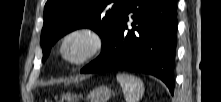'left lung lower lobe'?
Returning <instances> with one entry per match:
<instances>
[{
	"label": "left lung lower lobe",
	"instance_id": "obj_1",
	"mask_svg": "<svg viewBox=\"0 0 221 102\" xmlns=\"http://www.w3.org/2000/svg\"><path fill=\"white\" fill-rule=\"evenodd\" d=\"M176 30L175 0H127L112 37L81 73L142 72L162 80L173 94Z\"/></svg>",
	"mask_w": 221,
	"mask_h": 102
}]
</instances>
